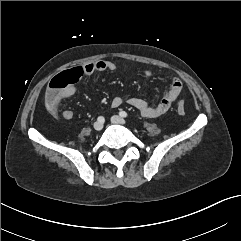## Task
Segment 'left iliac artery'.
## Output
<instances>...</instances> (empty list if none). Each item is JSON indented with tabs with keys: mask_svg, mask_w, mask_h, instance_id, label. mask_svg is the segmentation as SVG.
Here are the masks:
<instances>
[{
	"mask_svg": "<svg viewBox=\"0 0 241 241\" xmlns=\"http://www.w3.org/2000/svg\"><path fill=\"white\" fill-rule=\"evenodd\" d=\"M119 115H120L121 117H127V116H128L127 112H125V111H120V112H119Z\"/></svg>",
	"mask_w": 241,
	"mask_h": 241,
	"instance_id": "obj_1",
	"label": "left iliac artery"
}]
</instances>
